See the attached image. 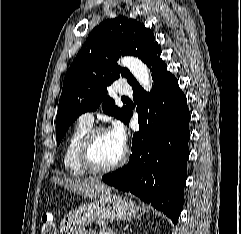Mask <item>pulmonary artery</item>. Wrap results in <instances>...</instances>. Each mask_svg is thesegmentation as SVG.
Segmentation results:
<instances>
[{
    "label": "pulmonary artery",
    "mask_w": 241,
    "mask_h": 234,
    "mask_svg": "<svg viewBox=\"0 0 241 234\" xmlns=\"http://www.w3.org/2000/svg\"><path fill=\"white\" fill-rule=\"evenodd\" d=\"M115 90L120 95H130L132 93L131 87L125 83L118 84ZM78 121L88 125H93V114L91 112H85L79 116Z\"/></svg>",
    "instance_id": "1"
}]
</instances>
